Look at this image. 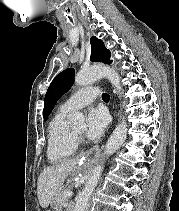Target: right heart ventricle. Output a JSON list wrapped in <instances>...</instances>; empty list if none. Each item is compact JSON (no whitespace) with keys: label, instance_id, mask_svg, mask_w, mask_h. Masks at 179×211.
I'll use <instances>...</instances> for the list:
<instances>
[{"label":"right heart ventricle","instance_id":"right-heart-ventricle-1","mask_svg":"<svg viewBox=\"0 0 179 211\" xmlns=\"http://www.w3.org/2000/svg\"><path fill=\"white\" fill-rule=\"evenodd\" d=\"M70 112L61 108L51 118L47 128V158L52 164H61L74 156L77 145L68 125Z\"/></svg>","mask_w":179,"mask_h":211}]
</instances>
